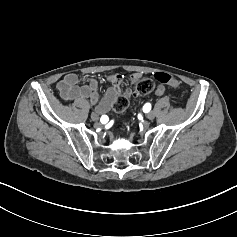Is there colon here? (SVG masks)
<instances>
[{"mask_svg":"<svg viewBox=\"0 0 237 237\" xmlns=\"http://www.w3.org/2000/svg\"><path fill=\"white\" fill-rule=\"evenodd\" d=\"M155 78L160 84H168L171 86L178 85V81L176 80V78L167 73L163 72L156 73ZM154 88H155L154 81L150 78H144L136 83L134 93L136 95H146L151 93ZM128 104L129 100L126 95L119 96L116 99L115 103L113 104V111L115 113H122L127 109Z\"/></svg>","mask_w":237,"mask_h":237,"instance_id":"5ec220e1","label":"colon"}]
</instances>
